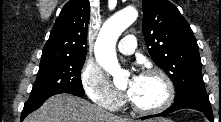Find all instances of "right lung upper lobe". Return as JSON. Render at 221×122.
I'll list each match as a JSON object with an SVG mask.
<instances>
[{
	"instance_id": "cb5924a9",
	"label": "right lung upper lobe",
	"mask_w": 221,
	"mask_h": 122,
	"mask_svg": "<svg viewBox=\"0 0 221 122\" xmlns=\"http://www.w3.org/2000/svg\"><path fill=\"white\" fill-rule=\"evenodd\" d=\"M89 17V0H70L67 2L43 48L41 60L85 58Z\"/></svg>"
}]
</instances>
